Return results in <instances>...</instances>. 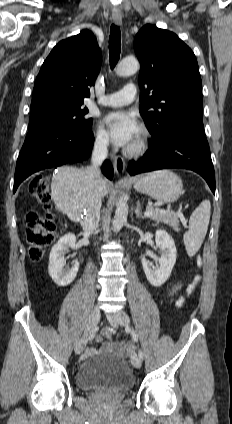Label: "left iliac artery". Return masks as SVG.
<instances>
[{
  "label": "left iliac artery",
  "instance_id": "left-iliac-artery-1",
  "mask_svg": "<svg viewBox=\"0 0 232 424\" xmlns=\"http://www.w3.org/2000/svg\"><path fill=\"white\" fill-rule=\"evenodd\" d=\"M131 335H132V338L136 342H138V336H137L136 332L133 329L131 330ZM138 355H139L140 359H142V360L144 359V353L141 350H139Z\"/></svg>",
  "mask_w": 232,
  "mask_h": 424
}]
</instances>
